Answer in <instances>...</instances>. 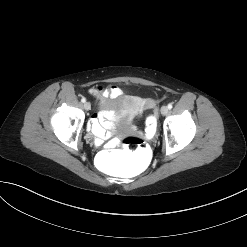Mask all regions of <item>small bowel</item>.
Instances as JSON below:
<instances>
[{"instance_id": "c3829d8e", "label": "small bowel", "mask_w": 247, "mask_h": 247, "mask_svg": "<svg viewBox=\"0 0 247 247\" xmlns=\"http://www.w3.org/2000/svg\"><path fill=\"white\" fill-rule=\"evenodd\" d=\"M90 93L98 98H101L119 95L120 90L116 87L106 89L93 88L90 90ZM105 118L106 116L102 114L94 116L91 120V131L96 144L101 145L105 143L106 147L111 148L116 145V141L114 139H110L113 128L109 124L105 123Z\"/></svg>"}]
</instances>
